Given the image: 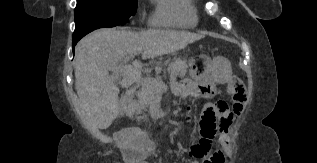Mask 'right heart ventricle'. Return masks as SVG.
<instances>
[{
  "label": "right heart ventricle",
  "mask_w": 317,
  "mask_h": 163,
  "mask_svg": "<svg viewBox=\"0 0 317 163\" xmlns=\"http://www.w3.org/2000/svg\"><path fill=\"white\" fill-rule=\"evenodd\" d=\"M150 25L168 28H192L197 24L193 0H152Z\"/></svg>",
  "instance_id": "obj_1"
}]
</instances>
